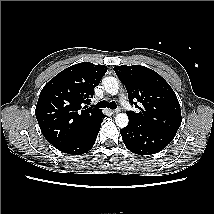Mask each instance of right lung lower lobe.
Returning <instances> with one entry per match:
<instances>
[{"mask_svg": "<svg viewBox=\"0 0 214 214\" xmlns=\"http://www.w3.org/2000/svg\"><path fill=\"white\" fill-rule=\"evenodd\" d=\"M104 117L105 115H102V117L88 128L73 144L60 151L73 155H80L88 152L96 141Z\"/></svg>", "mask_w": 214, "mask_h": 214, "instance_id": "98d812e1", "label": "right lung lower lobe"}]
</instances>
